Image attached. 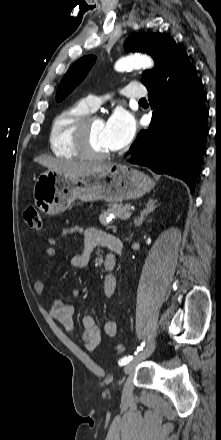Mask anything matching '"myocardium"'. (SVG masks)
Here are the masks:
<instances>
[{"label":"myocardium","instance_id":"1","mask_svg":"<svg viewBox=\"0 0 221 440\" xmlns=\"http://www.w3.org/2000/svg\"><path fill=\"white\" fill-rule=\"evenodd\" d=\"M100 119L96 114L89 113L82 116L76 121L73 127V142L74 146L81 155V157L91 160H103L111 156V152H97L95 151L89 141V127L94 121Z\"/></svg>","mask_w":221,"mask_h":440}]
</instances>
